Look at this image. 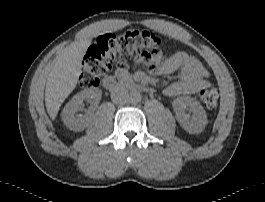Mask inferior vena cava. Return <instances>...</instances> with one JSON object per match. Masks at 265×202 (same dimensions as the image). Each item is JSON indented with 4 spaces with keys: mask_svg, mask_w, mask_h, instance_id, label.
I'll use <instances>...</instances> for the list:
<instances>
[{
    "mask_svg": "<svg viewBox=\"0 0 265 202\" xmlns=\"http://www.w3.org/2000/svg\"><path fill=\"white\" fill-rule=\"evenodd\" d=\"M129 93L124 87H117L111 93V99L115 104H125L128 101Z\"/></svg>",
    "mask_w": 265,
    "mask_h": 202,
    "instance_id": "602c4592",
    "label": "inferior vena cava"
}]
</instances>
